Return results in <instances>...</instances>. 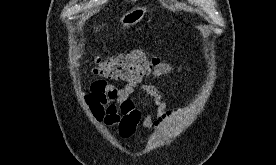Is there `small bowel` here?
<instances>
[{"label":"small bowel","mask_w":276,"mask_h":165,"mask_svg":"<svg viewBox=\"0 0 276 165\" xmlns=\"http://www.w3.org/2000/svg\"><path fill=\"white\" fill-rule=\"evenodd\" d=\"M177 69L179 68L171 63L160 62L149 76L129 80L122 87L103 80L94 81L84 97L85 104L97 121L115 128L121 138L129 139L139 125L144 130L154 129L172 115L171 111L165 110L160 90L144 83V80L165 76ZM138 89L154 98L157 105L155 116L149 108L141 110L137 107L132 95Z\"/></svg>","instance_id":"obj_1"}]
</instances>
